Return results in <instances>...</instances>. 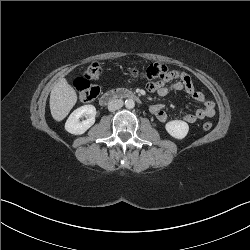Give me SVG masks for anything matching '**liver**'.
<instances>
[{
  "mask_svg": "<svg viewBox=\"0 0 250 250\" xmlns=\"http://www.w3.org/2000/svg\"><path fill=\"white\" fill-rule=\"evenodd\" d=\"M77 102V94L65 78H60L50 93V111L54 120L62 121Z\"/></svg>",
  "mask_w": 250,
  "mask_h": 250,
  "instance_id": "liver-1",
  "label": "liver"
}]
</instances>
